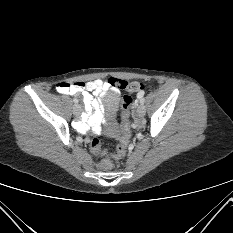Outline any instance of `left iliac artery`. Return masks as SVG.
<instances>
[{
  "label": "left iliac artery",
  "mask_w": 233,
  "mask_h": 233,
  "mask_svg": "<svg viewBox=\"0 0 233 233\" xmlns=\"http://www.w3.org/2000/svg\"><path fill=\"white\" fill-rule=\"evenodd\" d=\"M144 95V94H143ZM138 98H140V103L141 104H144V102H145V99L141 96V97H138Z\"/></svg>",
  "instance_id": "1"
}]
</instances>
